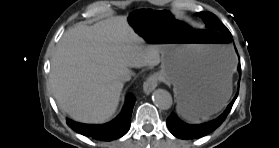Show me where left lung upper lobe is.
Here are the masks:
<instances>
[{"mask_svg":"<svg viewBox=\"0 0 279 148\" xmlns=\"http://www.w3.org/2000/svg\"><path fill=\"white\" fill-rule=\"evenodd\" d=\"M198 15L203 19L209 29L218 30L226 34L230 33L214 14L210 12H199Z\"/></svg>","mask_w":279,"mask_h":148,"instance_id":"obj_1","label":"left lung upper lobe"}]
</instances>
